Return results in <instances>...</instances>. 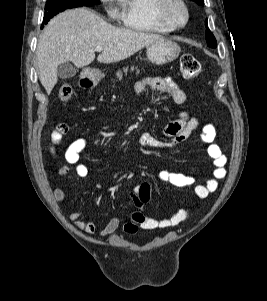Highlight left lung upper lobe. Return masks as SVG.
Masks as SVG:
<instances>
[{
    "label": "left lung upper lobe",
    "mask_w": 267,
    "mask_h": 301,
    "mask_svg": "<svg viewBox=\"0 0 267 301\" xmlns=\"http://www.w3.org/2000/svg\"><path fill=\"white\" fill-rule=\"evenodd\" d=\"M194 2H196L198 5H203L204 4V0H192ZM206 27H207V20H206ZM206 41H207V45L211 48H215L216 47V39L214 37V35L211 33V31L209 30V28H207L206 30Z\"/></svg>",
    "instance_id": "5c2ea615"
}]
</instances>
